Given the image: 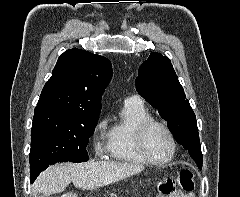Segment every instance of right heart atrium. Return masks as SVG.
<instances>
[{
    "label": "right heart atrium",
    "instance_id": "right-heart-atrium-1",
    "mask_svg": "<svg viewBox=\"0 0 240 197\" xmlns=\"http://www.w3.org/2000/svg\"><path fill=\"white\" fill-rule=\"evenodd\" d=\"M106 120L101 119L97 122L93 130V144L97 154H102L106 150Z\"/></svg>",
    "mask_w": 240,
    "mask_h": 197
}]
</instances>
